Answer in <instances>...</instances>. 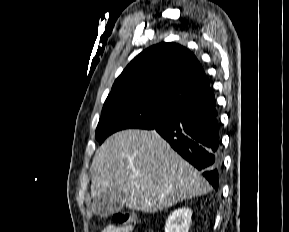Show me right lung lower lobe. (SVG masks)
<instances>
[{"label":"right lung lower lobe","instance_id":"right-lung-lower-lobe-1","mask_svg":"<svg viewBox=\"0 0 289 232\" xmlns=\"http://www.w3.org/2000/svg\"><path fill=\"white\" fill-rule=\"evenodd\" d=\"M219 129L215 99L181 108L175 119L154 128L177 153L202 171L216 190L222 167Z\"/></svg>","mask_w":289,"mask_h":232}]
</instances>
